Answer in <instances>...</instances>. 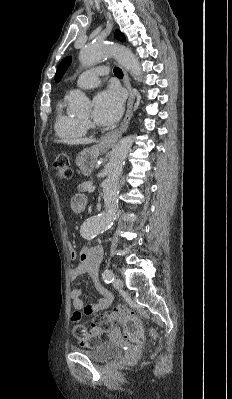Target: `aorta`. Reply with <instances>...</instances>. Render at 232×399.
I'll use <instances>...</instances> for the list:
<instances>
[{
	"label": "aorta",
	"instance_id": "762f6f07",
	"mask_svg": "<svg viewBox=\"0 0 232 399\" xmlns=\"http://www.w3.org/2000/svg\"><path fill=\"white\" fill-rule=\"evenodd\" d=\"M114 57L133 77L141 75V67L138 59L129 48L121 45H111L103 42H95L81 49L79 61L89 67L106 57ZM67 100L75 111H83L88 108L89 100L81 91H72ZM133 137L122 138L112 149L107 165V177L103 181L104 211L88 218L81 226V234L86 239H91L108 230L116 217L118 209V180L131 150Z\"/></svg>",
	"mask_w": 232,
	"mask_h": 399
}]
</instances>
